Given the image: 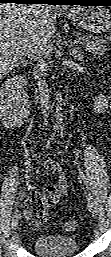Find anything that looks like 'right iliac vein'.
Here are the masks:
<instances>
[{
    "label": "right iliac vein",
    "instance_id": "right-iliac-vein-1",
    "mask_svg": "<svg viewBox=\"0 0 111 257\" xmlns=\"http://www.w3.org/2000/svg\"><path fill=\"white\" fill-rule=\"evenodd\" d=\"M19 219H20V213L19 211H15L14 215H13V218H12V223H11V226H12V230H15L18 226V223H19Z\"/></svg>",
    "mask_w": 111,
    "mask_h": 257
}]
</instances>
